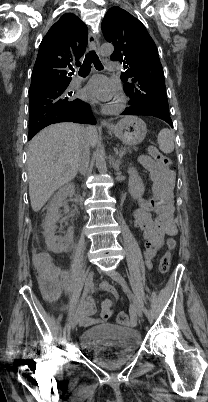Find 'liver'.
I'll use <instances>...</instances> for the list:
<instances>
[{"label":"liver","instance_id":"6515ba94","mask_svg":"<svg viewBox=\"0 0 208 402\" xmlns=\"http://www.w3.org/2000/svg\"><path fill=\"white\" fill-rule=\"evenodd\" d=\"M78 124H53L39 132L29 144L27 170L29 196L34 212H39L52 194L71 182L78 172L76 152L81 138L89 146H96L95 126L84 128Z\"/></svg>","mask_w":208,"mask_h":402}]
</instances>
